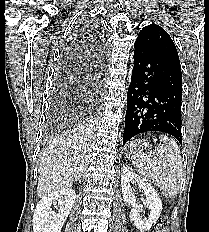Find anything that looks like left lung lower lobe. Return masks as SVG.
<instances>
[{"instance_id":"0a47b994","label":"left lung lower lobe","mask_w":209,"mask_h":232,"mask_svg":"<svg viewBox=\"0 0 209 232\" xmlns=\"http://www.w3.org/2000/svg\"><path fill=\"white\" fill-rule=\"evenodd\" d=\"M134 47L123 145L132 137L149 131L168 133L182 145L181 65L138 42Z\"/></svg>"}]
</instances>
